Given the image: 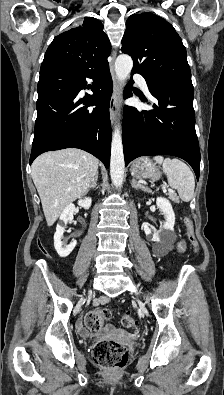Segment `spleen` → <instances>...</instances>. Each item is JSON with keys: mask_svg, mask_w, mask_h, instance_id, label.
Listing matches in <instances>:
<instances>
[{"mask_svg": "<svg viewBox=\"0 0 224 395\" xmlns=\"http://www.w3.org/2000/svg\"><path fill=\"white\" fill-rule=\"evenodd\" d=\"M156 163L162 164L170 187L176 189L182 201L189 202L194 194L195 180L191 169L177 158L155 156Z\"/></svg>", "mask_w": 224, "mask_h": 395, "instance_id": "spleen-1", "label": "spleen"}]
</instances>
